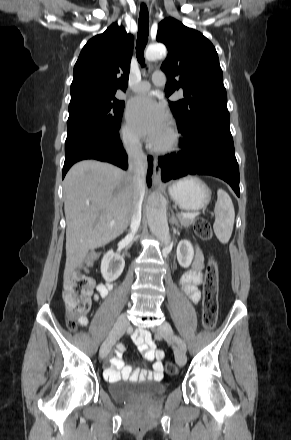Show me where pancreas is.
<instances>
[{
    "mask_svg": "<svg viewBox=\"0 0 291 440\" xmlns=\"http://www.w3.org/2000/svg\"><path fill=\"white\" fill-rule=\"evenodd\" d=\"M178 220H179L181 226H184V227H190L194 223L193 219H188V218H184L181 216L178 217Z\"/></svg>",
    "mask_w": 291,
    "mask_h": 440,
    "instance_id": "cf45deb5",
    "label": "pancreas"
}]
</instances>
